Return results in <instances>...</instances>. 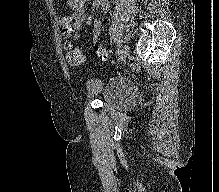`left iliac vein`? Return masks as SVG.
<instances>
[{"instance_id":"4c4485c4","label":"left iliac vein","mask_w":219,"mask_h":192,"mask_svg":"<svg viewBox=\"0 0 219 192\" xmlns=\"http://www.w3.org/2000/svg\"><path fill=\"white\" fill-rule=\"evenodd\" d=\"M129 52H130L129 46L128 45L123 46V48L121 49V51L119 53V56H118V62L125 61L126 58L129 56ZM87 88H88L89 96H93L95 94H98L101 91L102 87H101V84L98 81L91 80L88 83Z\"/></svg>"}]
</instances>
